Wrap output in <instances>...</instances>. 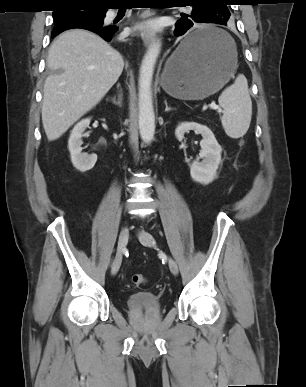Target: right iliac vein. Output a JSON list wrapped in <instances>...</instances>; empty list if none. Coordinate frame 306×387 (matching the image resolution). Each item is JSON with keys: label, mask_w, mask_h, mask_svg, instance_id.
<instances>
[{"label": "right iliac vein", "mask_w": 306, "mask_h": 387, "mask_svg": "<svg viewBox=\"0 0 306 387\" xmlns=\"http://www.w3.org/2000/svg\"><path fill=\"white\" fill-rule=\"evenodd\" d=\"M128 238H129V230L128 228L124 227L121 229L119 238H118V247H117V253L115 256V259L112 264V269L111 273L115 275L121 266L122 263V258H123V253L125 251L126 245L128 243Z\"/></svg>", "instance_id": "right-iliac-vein-1"}]
</instances>
